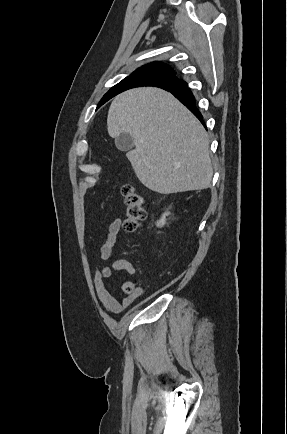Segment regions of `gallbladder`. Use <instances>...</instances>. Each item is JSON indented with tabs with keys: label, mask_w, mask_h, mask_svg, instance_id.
<instances>
[{
	"label": "gallbladder",
	"mask_w": 287,
	"mask_h": 434,
	"mask_svg": "<svg viewBox=\"0 0 287 434\" xmlns=\"http://www.w3.org/2000/svg\"><path fill=\"white\" fill-rule=\"evenodd\" d=\"M115 145L120 151H130L134 147L133 137L123 132L115 138Z\"/></svg>",
	"instance_id": "gallbladder-1"
}]
</instances>
